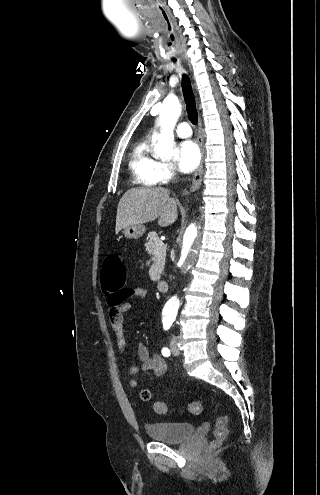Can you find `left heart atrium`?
I'll return each instance as SVG.
<instances>
[{
    "instance_id": "39dd6f15",
    "label": "left heart atrium",
    "mask_w": 320,
    "mask_h": 495,
    "mask_svg": "<svg viewBox=\"0 0 320 495\" xmlns=\"http://www.w3.org/2000/svg\"><path fill=\"white\" fill-rule=\"evenodd\" d=\"M201 161V153L198 145L191 140L183 141L178 146L177 164L183 173L194 171Z\"/></svg>"
}]
</instances>
